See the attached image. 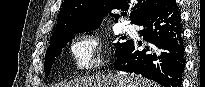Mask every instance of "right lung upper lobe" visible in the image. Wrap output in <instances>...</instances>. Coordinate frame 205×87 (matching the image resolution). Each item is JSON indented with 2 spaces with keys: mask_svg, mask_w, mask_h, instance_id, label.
I'll list each match as a JSON object with an SVG mask.
<instances>
[{
  "mask_svg": "<svg viewBox=\"0 0 205 87\" xmlns=\"http://www.w3.org/2000/svg\"><path fill=\"white\" fill-rule=\"evenodd\" d=\"M170 1L137 0V4L131 8L133 0H64L50 44L73 32L97 29L111 10L127 11L131 8V23L138 24ZM112 15L116 21L120 17L119 14ZM121 15H124V12Z\"/></svg>",
  "mask_w": 205,
  "mask_h": 87,
  "instance_id": "right-lung-upper-lobe-1",
  "label": "right lung upper lobe"
}]
</instances>
